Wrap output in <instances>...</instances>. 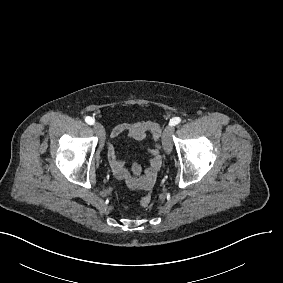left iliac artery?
Here are the masks:
<instances>
[{
	"label": "left iliac artery",
	"mask_w": 283,
	"mask_h": 283,
	"mask_svg": "<svg viewBox=\"0 0 283 283\" xmlns=\"http://www.w3.org/2000/svg\"><path fill=\"white\" fill-rule=\"evenodd\" d=\"M180 122H181V119H180L179 117H174V118H172V119L170 120L169 125L175 126V125H177V124L180 123Z\"/></svg>",
	"instance_id": "obj_1"
}]
</instances>
